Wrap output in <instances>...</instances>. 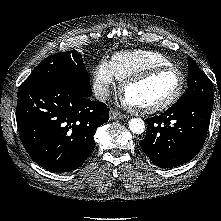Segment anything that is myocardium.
<instances>
[{
  "label": "myocardium",
  "mask_w": 221,
  "mask_h": 221,
  "mask_svg": "<svg viewBox=\"0 0 221 221\" xmlns=\"http://www.w3.org/2000/svg\"><path fill=\"white\" fill-rule=\"evenodd\" d=\"M164 71H176L180 75L179 87L170 98H168L167 100H165L159 104H156L153 106H148V107L134 106L125 100L124 94H125V91L127 90L128 87H130L134 84L140 83V82L154 76L155 74H158V73H161ZM185 85H186V75L182 69H180L179 67H177L175 65H162V66L150 67L148 69L142 70L134 75L127 77L126 79H124L122 81L119 91H120V96L122 98L123 103L131 111L138 113V114H153L156 112L163 111V110L169 108L170 106H172L174 103H176L178 101V99L182 96L184 89H185Z\"/></svg>",
  "instance_id": "obj_1"
}]
</instances>
